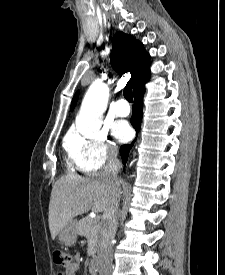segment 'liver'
<instances>
[{
  "label": "liver",
  "mask_w": 225,
  "mask_h": 275,
  "mask_svg": "<svg viewBox=\"0 0 225 275\" xmlns=\"http://www.w3.org/2000/svg\"><path fill=\"white\" fill-rule=\"evenodd\" d=\"M108 187L100 174L84 178L62 176L53 186L49 203V228L52 239L78 215L105 210Z\"/></svg>",
  "instance_id": "obj_1"
}]
</instances>
